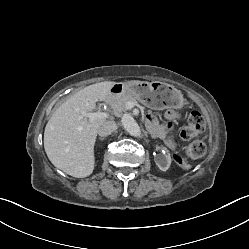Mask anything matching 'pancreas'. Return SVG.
<instances>
[{
  "instance_id": "cf45deb5",
  "label": "pancreas",
  "mask_w": 249,
  "mask_h": 249,
  "mask_svg": "<svg viewBox=\"0 0 249 249\" xmlns=\"http://www.w3.org/2000/svg\"><path fill=\"white\" fill-rule=\"evenodd\" d=\"M129 101H135V99L130 95H120L112 98L110 105L115 113H119L127 109V103Z\"/></svg>"
}]
</instances>
